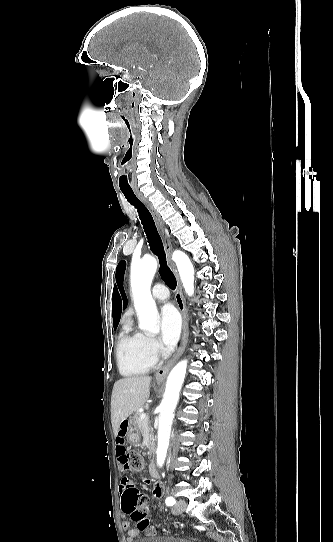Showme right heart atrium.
I'll list each match as a JSON object with an SVG mask.
<instances>
[{
	"instance_id": "right-heart-atrium-1",
	"label": "right heart atrium",
	"mask_w": 333,
	"mask_h": 542,
	"mask_svg": "<svg viewBox=\"0 0 333 542\" xmlns=\"http://www.w3.org/2000/svg\"><path fill=\"white\" fill-rule=\"evenodd\" d=\"M147 344H148L149 348H150L152 351L157 350V348H158V346H159L158 342H157L155 339L150 338V337H148Z\"/></svg>"
}]
</instances>
